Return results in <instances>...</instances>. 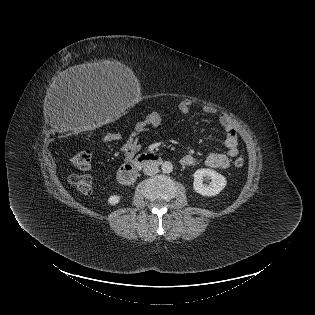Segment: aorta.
<instances>
[{
	"label": "aorta",
	"mask_w": 315,
	"mask_h": 315,
	"mask_svg": "<svg viewBox=\"0 0 315 315\" xmlns=\"http://www.w3.org/2000/svg\"><path fill=\"white\" fill-rule=\"evenodd\" d=\"M161 170L163 173H171L173 171V165L171 162L169 161H165L162 165H161Z\"/></svg>",
	"instance_id": "1"
}]
</instances>
